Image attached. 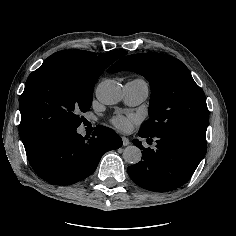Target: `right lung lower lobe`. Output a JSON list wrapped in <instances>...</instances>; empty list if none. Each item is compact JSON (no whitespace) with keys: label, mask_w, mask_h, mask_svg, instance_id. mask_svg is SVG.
Returning a JSON list of instances; mask_svg holds the SVG:
<instances>
[{"label":"right lung lower lobe","mask_w":236,"mask_h":236,"mask_svg":"<svg viewBox=\"0 0 236 236\" xmlns=\"http://www.w3.org/2000/svg\"><path fill=\"white\" fill-rule=\"evenodd\" d=\"M122 146L112 129L98 125L92 136L83 137L76 129L52 133L26 151L36 174L55 185H70L91 175L102 155Z\"/></svg>","instance_id":"1"}]
</instances>
